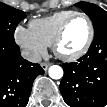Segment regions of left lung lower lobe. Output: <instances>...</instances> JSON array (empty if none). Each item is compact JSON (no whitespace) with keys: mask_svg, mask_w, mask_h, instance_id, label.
<instances>
[{"mask_svg":"<svg viewBox=\"0 0 107 107\" xmlns=\"http://www.w3.org/2000/svg\"><path fill=\"white\" fill-rule=\"evenodd\" d=\"M60 91L71 107L107 105V29L94 35L89 51L78 62L62 65Z\"/></svg>","mask_w":107,"mask_h":107,"instance_id":"left-lung-lower-lobe-1","label":"left lung lower lobe"}]
</instances>
